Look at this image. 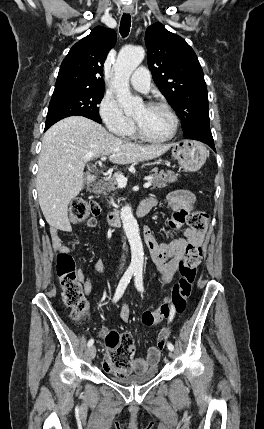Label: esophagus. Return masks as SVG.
Instances as JSON below:
<instances>
[{
    "instance_id": "1",
    "label": "esophagus",
    "mask_w": 264,
    "mask_h": 429,
    "mask_svg": "<svg viewBox=\"0 0 264 429\" xmlns=\"http://www.w3.org/2000/svg\"><path fill=\"white\" fill-rule=\"evenodd\" d=\"M125 13H132L133 12V6L132 5H125L123 8Z\"/></svg>"
}]
</instances>
